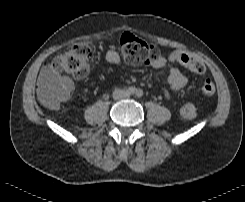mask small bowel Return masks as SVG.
I'll return each mask as SVG.
<instances>
[{"mask_svg": "<svg viewBox=\"0 0 245 202\" xmlns=\"http://www.w3.org/2000/svg\"><path fill=\"white\" fill-rule=\"evenodd\" d=\"M176 54L177 52H171L168 57L160 55L157 60L151 63L155 69L167 70V81L171 91H179L187 85V77L178 67L173 65L176 61ZM104 58L109 64H118L121 61L120 54L115 49H108L104 54ZM56 84L67 90L69 95L74 89V83L70 79L56 77L50 68L45 66L38 83L39 90L41 91L46 87ZM164 94L165 97L169 98V90H164Z\"/></svg>", "mask_w": 245, "mask_h": 202, "instance_id": "small-bowel-1", "label": "small bowel"}]
</instances>
